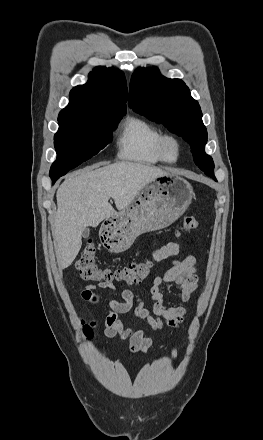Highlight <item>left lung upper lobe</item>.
<instances>
[{
    "label": "left lung upper lobe",
    "instance_id": "obj_1",
    "mask_svg": "<svg viewBox=\"0 0 263 440\" xmlns=\"http://www.w3.org/2000/svg\"><path fill=\"white\" fill-rule=\"evenodd\" d=\"M129 105L183 137L190 144L196 165L216 180L213 160L205 153L207 130L200 106L182 80L168 79L157 68H138L130 81Z\"/></svg>",
    "mask_w": 263,
    "mask_h": 440
}]
</instances>
